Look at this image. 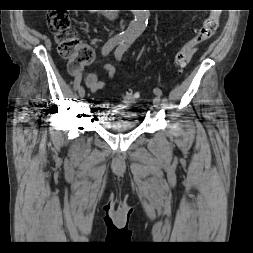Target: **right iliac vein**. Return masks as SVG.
I'll use <instances>...</instances> for the list:
<instances>
[{"instance_id": "obj_1", "label": "right iliac vein", "mask_w": 253, "mask_h": 253, "mask_svg": "<svg viewBox=\"0 0 253 253\" xmlns=\"http://www.w3.org/2000/svg\"><path fill=\"white\" fill-rule=\"evenodd\" d=\"M78 93L81 98L85 96V90L82 86L79 88Z\"/></svg>"}]
</instances>
